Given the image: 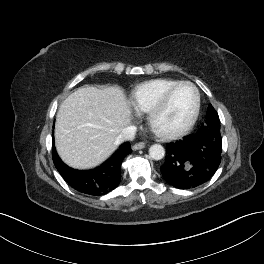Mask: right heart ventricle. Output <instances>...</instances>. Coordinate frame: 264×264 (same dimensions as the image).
<instances>
[{
	"label": "right heart ventricle",
	"instance_id": "right-heart-ventricle-1",
	"mask_svg": "<svg viewBox=\"0 0 264 264\" xmlns=\"http://www.w3.org/2000/svg\"><path fill=\"white\" fill-rule=\"evenodd\" d=\"M178 82L172 78H157L137 85L130 94V104L139 113L149 112L165 90Z\"/></svg>",
	"mask_w": 264,
	"mask_h": 264
}]
</instances>
